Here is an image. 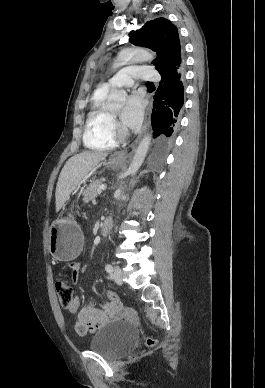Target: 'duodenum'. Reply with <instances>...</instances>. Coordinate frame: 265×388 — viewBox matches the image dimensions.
Returning <instances> with one entry per match:
<instances>
[{
  "label": "duodenum",
  "instance_id": "410a0bca",
  "mask_svg": "<svg viewBox=\"0 0 265 388\" xmlns=\"http://www.w3.org/2000/svg\"><path fill=\"white\" fill-rule=\"evenodd\" d=\"M113 221L111 218H105L100 225V232L102 235H107L111 231Z\"/></svg>",
  "mask_w": 265,
  "mask_h": 388
}]
</instances>
